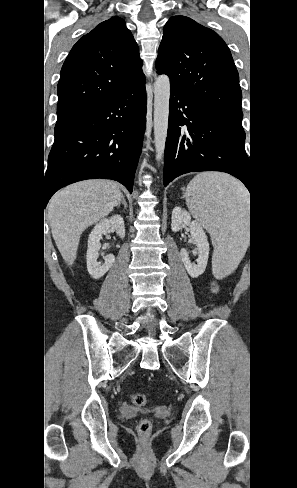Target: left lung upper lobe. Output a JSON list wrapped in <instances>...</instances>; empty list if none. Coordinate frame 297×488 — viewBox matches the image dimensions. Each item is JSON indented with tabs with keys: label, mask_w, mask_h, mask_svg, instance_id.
I'll return each instance as SVG.
<instances>
[{
	"label": "left lung upper lobe",
	"mask_w": 297,
	"mask_h": 488,
	"mask_svg": "<svg viewBox=\"0 0 297 488\" xmlns=\"http://www.w3.org/2000/svg\"><path fill=\"white\" fill-rule=\"evenodd\" d=\"M156 69L169 76L171 90L241 125L239 75L229 48L213 30L189 17H171L163 29Z\"/></svg>",
	"instance_id": "left-lung-upper-lobe-1"
}]
</instances>
